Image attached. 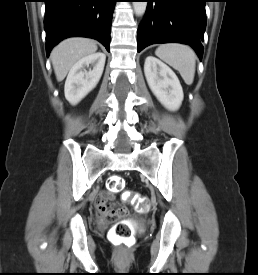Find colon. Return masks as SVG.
I'll list each match as a JSON object with an SVG mask.
<instances>
[{"instance_id":"colon-1","label":"colon","mask_w":258,"mask_h":275,"mask_svg":"<svg viewBox=\"0 0 258 275\" xmlns=\"http://www.w3.org/2000/svg\"><path fill=\"white\" fill-rule=\"evenodd\" d=\"M124 186L125 181L120 176H113L108 181V189L112 193L121 191L124 188ZM123 200L126 202L134 203L136 210L140 213H145L150 208V202L146 196H142L131 191H127L123 194ZM125 214V209L107 210L104 213V216L107 219H113L117 217H122ZM108 238L113 244L124 248L132 247L135 242L133 231L130 227H128L122 222H117L115 225L111 227V229L108 232Z\"/></svg>"}]
</instances>
